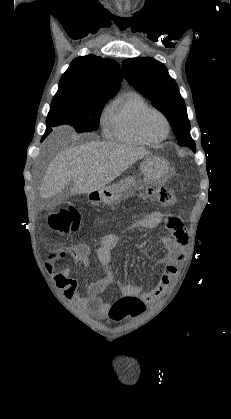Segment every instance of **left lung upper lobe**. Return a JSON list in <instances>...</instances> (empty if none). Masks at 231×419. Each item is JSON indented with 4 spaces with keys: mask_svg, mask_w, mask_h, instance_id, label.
<instances>
[{
    "mask_svg": "<svg viewBox=\"0 0 231 419\" xmlns=\"http://www.w3.org/2000/svg\"><path fill=\"white\" fill-rule=\"evenodd\" d=\"M122 67L129 84L151 100L152 105L167 118L179 145L195 152L185 102L166 66L151 57H139L124 60Z\"/></svg>",
    "mask_w": 231,
    "mask_h": 419,
    "instance_id": "left-lung-upper-lobe-1",
    "label": "left lung upper lobe"
}]
</instances>
